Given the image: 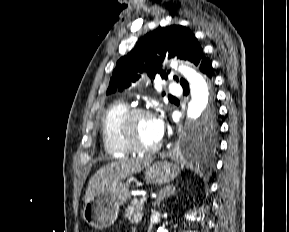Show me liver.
I'll return each mask as SVG.
<instances>
[{
	"instance_id": "obj_1",
	"label": "liver",
	"mask_w": 289,
	"mask_h": 232,
	"mask_svg": "<svg viewBox=\"0 0 289 232\" xmlns=\"http://www.w3.org/2000/svg\"><path fill=\"white\" fill-rule=\"evenodd\" d=\"M150 162L151 160L148 159L120 160L100 168L88 183L84 197L85 203L93 196L111 189L119 181L141 172Z\"/></svg>"
}]
</instances>
